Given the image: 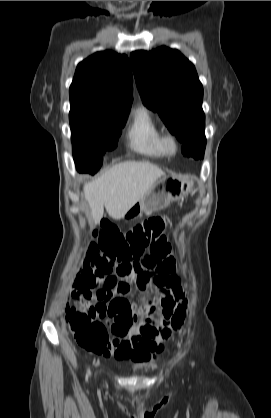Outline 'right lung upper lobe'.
Listing matches in <instances>:
<instances>
[{
	"instance_id": "cb5924a9",
	"label": "right lung upper lobe",
	"mask_w": 271,
	"mask_h": 418,
	"mask_svg": "<svg viewBox=\"0 0 271 418\" xmlns=\"http://www.w3.org/2000/svg\"><path fill=\"white\" fill-rule=\"evenodd\" d=\"M128 57L98 52L80 62L69 89L72 107L108 113H129L133 101Z\"/></svg>"
}]
</instances>
